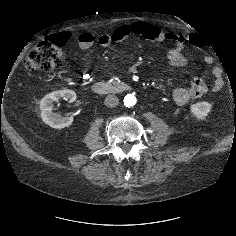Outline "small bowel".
Returning a JSON list of instances; mask_svg holds the SVG:
<instances>
[{"mask_svg":"<svg viewBox=\"0 0 236 236\" xmlns=\"http://www.w3.org/2000/svg\"><path fill=\"white\" fill-rule=\"evenodd\" d=\"M130 35L141 36L155 41H169L173 43V47L167 54L168 62L173 66H184L188 59L184 54V49L188 42L197 45L199 36L192 34L189 36L178 35L172 32H164L159 27L143 22L137 21L130 24H124L116 28L112 33L102 34L99 37L91 32H82L78 35V45L80 49L87 50L93 46L95 41L102 47H107L111 43L124 40ZM64 43L70 39V33L65 31L56 35ZM209 63V59L206 60ZM214 81L208 86L203 80L199 78H192L189 81L188 87H177L172 93V98L177 106H184L191 100L202 97L210 90L213 93L219 92L224 85L222 72L219 68L213 70Z\"/></svg>","mask_w":236,"mask_h":236,"instance_id":"small-bowel-1","label":"small bowel"}]
</instances>
